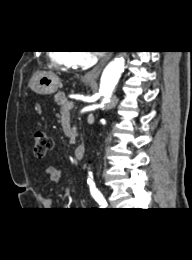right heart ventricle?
<instances>
[{
    "label": "right heart ventricle",
    "mask_w": 192,
    "mask_h": 260,
    "mask_svg": "<svg viewBox=\"0 0 192 260\" xmlns=\"http://www.w3.org/2000/svg\"><path fill=\"white\" fill-rule=\"evenodd\" d=\"M51 59L53 62H55L61 66L67 67V68L75 66L74 63L72 62V53H70L68 51L54 52L51 55Z\"/></svg>",
    "instance_id": "e07e8e85"
}]
</instances>
